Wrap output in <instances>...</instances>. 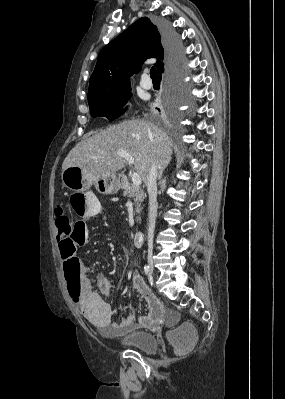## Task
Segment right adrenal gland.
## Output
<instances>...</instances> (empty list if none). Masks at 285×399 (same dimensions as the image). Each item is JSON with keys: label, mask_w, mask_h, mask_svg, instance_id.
Returning <instances> with one entry per match:
<instances>
[{"label": "right adrenal gland", "mask_w": 285, "mask_h": 399, "mask_svg": "<svg viewBox=\"0 0 285 399\" xmlns=\"http://www.w3.org/2000/svg\"><path fill=\"white\" fill-rule=\"evenodd\" d=\"M165 168H166V167H162V168L159 169L158 180H161V179H162L163 171H164Z\"/></svg>", "instance_id": "obj_1"}]
</instances>
